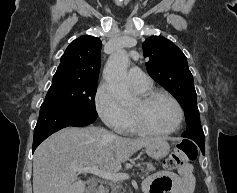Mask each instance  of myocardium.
Here are the masks:
<instances>
[{"label":"myocardium","mask_w":237,"mask_h":193,"mask_svg":"<svg viewBox=\"0 0 237 193\" xmlns=\"http://www.w3.org/2000/svg\"><path fill=\"white\" fill-rule=\"evenodd\" d=\"M157 97H166L170 101H172V103L175 105V107L178 111V121H177L176 125L173 128L166 130V131L152 130V129H149L146 126H144L139 121L137 115L133 111L130 110L129 116H130L131 125L136 132H138L140 134L147 135V136L163 137V136L171 135V134L177 132L181 128L183 121H184V111H183V108H182L181 104L179 103V101L173 95H171L170 93L165 92V91H148L144 94H141L138 99L142 105H147L151 101L156 99Z\"/></svg>","instance_id":"f54148a6"}]
</instances>
